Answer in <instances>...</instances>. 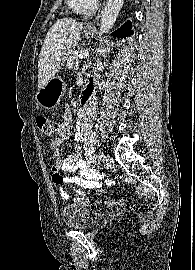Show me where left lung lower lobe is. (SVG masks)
Wrapping results in <instances>:
<instances>
[{
  "instance_id": "left-lung-lower-lobe-1",
  "label": "left lung lower lobe",
  "mask_w": 195,
  "mask_h": 270,
  "mask_svg": "<svg viewBox=\"0 0 195 270\" xmlns=\"http://www.w3.org/2000/svg\"><path fill=\"white\" fill-rule=\"evenodd\" d=\"M131 28H132L131 22L127 21L123 26H121L120 29L115 31L112 35L119 38L130 36L133 34V31L131 30Z\"/></svg>"
}]
</instances>
